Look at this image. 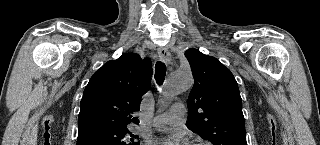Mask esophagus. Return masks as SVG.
Wrapping results in <instances>:
<instances>
[{
    "label": "esophagus",
    "instance_id": "1",
    "mask_svg": "<svg viewBox=\"0 0 320 145\" xmlns=\"http://www.w3.org/2000/svg\"><path fill=\"white\" fill-rule=\"evenodd\" d=\"M158 55L159 58L166 62V63H170L171 61V54L169 52V50L166 47H159L158 48Z\"/></svg>",
    "mask_w": 320,
    "mask_h": 145
}]
</instances>
